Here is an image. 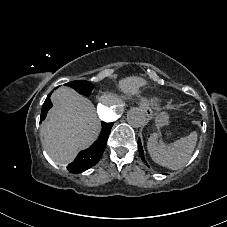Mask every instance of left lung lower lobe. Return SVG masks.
Masks as SVG:
<instances>
[{
    "mask_svg": "<svg viewBox=\"0 0 227 227\" xmlns=\"http://www.w3.org/2000/svg\"><path fill=\"white\" fill-rule=\"evenodd\" d=\"M138 150H139V154L141 159L146 163L145 158H144V152H143V148H142V144H141V140H138Z\"/></svg>",
    "mask_w": 227,
    "mask_h": 227,
    "instance_id": "obj_1",
    "label": "left lung lower lobe"
}]
</instances>
